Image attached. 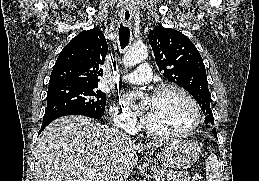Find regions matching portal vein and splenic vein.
Instances as JSON below:
<instances>
[{"label": "portal vein and splenic vein", "mask_w": 259, "mask_h": 181, "mask_svg": "<svg viewBox=\"0 0 259 181\" xmlns=\"http://www.w3.org/2000/svg\"><path fill=\"white\" fill-rule=\"evenodd\" d=\"M88 172L93 175L96 171L93 169H88ZM156 181H164V178H156Z\"/></svg>", "instance_id": "portal-vein-and-splenic-vein-1"}]
</instances>
